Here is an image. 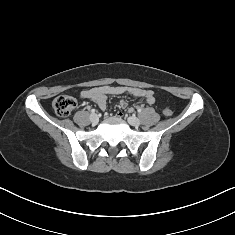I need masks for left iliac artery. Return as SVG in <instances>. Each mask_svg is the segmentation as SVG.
I'll list each match as a JSON object with an SVG mask.
<instances>
[{"label": "left iliac artery", "mask_w": 235, "mask_h": 235, "mask_svg": "<svg viewBox=\"0 0 235 235\" xmlns=\"http://www.w3.org/2000/svg\"><path fill=\"white\" fill-rule=\"evenodd\" d=\"M137 111H138V113H141V112H142V109H141V108H138Z\"/></svg>", "instance_id": "left-iliac-artery-1"}]
</instances>
